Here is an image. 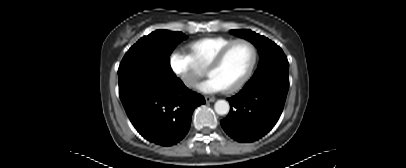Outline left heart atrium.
<instances>
[{
    "label": "left heart atrium",
    "mask_w": 406,
    "mask_h": 168,
    "mask_svg": "<svg viewBox=\"0 0 406 168\" xmlns=\"http://www.w3.org/2000/svg\"><path fill=\"white\" fill-rule=\"evenodd\" d=\"M198 89L203 93H215L222 91L224 88L215 78L210 76L198 86Z\"/></svg>",
    "instance_id": "1"
}]
</instances>
